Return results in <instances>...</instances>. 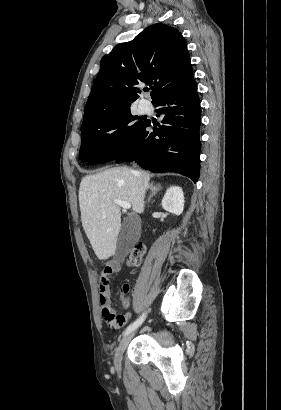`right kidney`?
<instances>
[{"mask_svg":"<svg viewBox=\"0 0 281 410\" xmlns=\"http://www.w3.org/2000/svg\"><path fill=\"white\" fill-rule=\"evenodd\" d=\"M162 207L164 210L175 215H180L184 209V194L182 188L171 186L165 193L162 199Z\"/></svg>","mask_w":281,"mask_h":410,"instance_id":"right-kidney-1","label":"right kidney"}]
</instances>
